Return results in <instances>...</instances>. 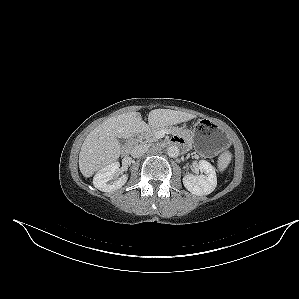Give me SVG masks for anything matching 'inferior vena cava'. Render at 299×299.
Here are the masks:
<instances>
[{
    "instance_id": "inferior-vena-cava-1",
    "label": "inferior vena cava",
    "mask_w": 299,
    "mask_h": 299,
    "mask_svg": "<svg viewBox=\"0 0 299 299\" xmlns=\"http://www.w3.org/2000/svg\"><path fill=\"white\" fill-rule=\"evenodd\" d=\"M148 150V145L146 144H138L135 145L131 150V156L134 158H138L142 156L144 153H146Z\"/></svg>"
}]
</instances>
